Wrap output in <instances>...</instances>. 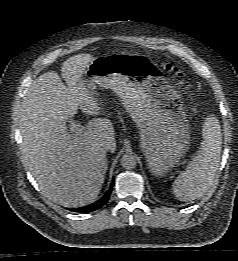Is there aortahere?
<instances>
[{"mask_svg": "<svg viewBox=\"0 0 238 261\" xmlns=\"http://www.w3.org/2000/svg\"><path fill=\"white\" fill-rule=\"evenodd\" d=\"M120 165L126 170H131V169L135 168V166H136L135 156L132 154L123 155L120 160Z\"/></svg>", "mask_w": 238, "mask_h": 261, "instance_id": "aorta-1", "label": "aorta"}]
</instances>
